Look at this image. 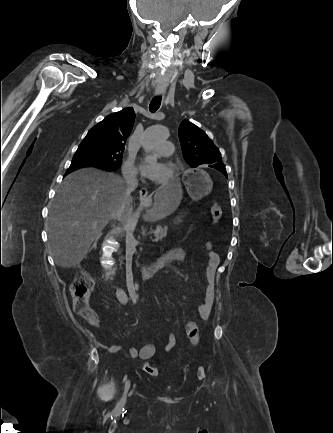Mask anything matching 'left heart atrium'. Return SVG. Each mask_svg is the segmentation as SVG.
<instances>
[{"label":"left heart atrium","mask_w":333,"mask_h":433,"mask_svg":"<svg viewBox=\"0 0 333 433\" xmlns=\"http://www.w3.org/2000/svg\"><path fill=\"white\" fill-rule=\"evenodd\" d=\"M141 173L154 181H162L166 177L164 165L158 162L142 161Z\"/></svg>","instance_id":"obj_1"}]
</instances>
